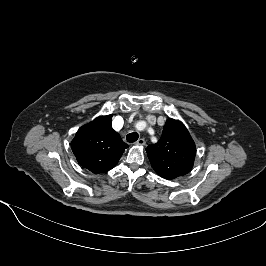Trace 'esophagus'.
Segmentation results:
<instances>
[{"label":"esophagus","instance_id":"esophagus-1","mask_svg":"<svg viewBox=\"0 0 266 266\" xmlns=\"http://www.w3.org/2000/svg\"><path fill=\"white\" fill-rule=\"evenodd\" d=\"M136 145H139V146H144L145 145V140L143 138H140L136 141L135 143Z\"/></svg>","mask_w":266,"mask_h":266}]
</instances>
